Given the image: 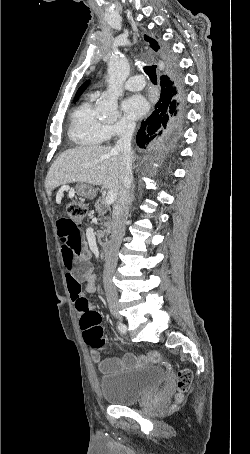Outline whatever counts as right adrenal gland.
<instances>
[{"label":"right adrenal gland","mask_w":250,"mask_h":454,"mask_svg":"<svg viewBox=\"0 0 250 454\" xmlns=\"http://www.w3.org/2000/svg\"><path fill=\"white\" fill-rule=\"evenodd\" d=\"M133 199H134V193H132V195H131V202L133 201Z\"/></svg>","instance_id":"1"}]
</instances>
